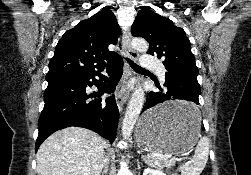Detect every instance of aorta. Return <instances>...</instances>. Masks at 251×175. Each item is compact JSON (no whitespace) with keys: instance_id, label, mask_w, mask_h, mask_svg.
I'll use <instances>...</instances> for the list:
<instances>
[{"instance_id":"obj_1","label":"aorta","mask_w":251,"mask_h":175,"mask_svg":"<svg viewBox=\"0 0 251 175\" xmlns=\"http://www.w3.org/2000/svg\"><path fill=\"white\" fill-rule=\"evenodd\" d=\"M132 46L134 50H137V52H147L148 50L147 42H145V40H141V38H135V40H132ZM144 95L145 93L143 88H140V86L139 88H135L131 95L121 127L124 139H128L129 135H131L133 131V127L143 107Z\"/></svg>"}]
</instances>
